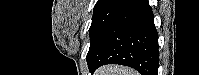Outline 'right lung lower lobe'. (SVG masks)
Segmentation results:
<instances>
[{
  "label": "right lung lower lobe",
  "mask_w": 199,
  "mask_h": 75,
  "mask_svg": "<svg viewBox=\"0 0 199 75\" xmlns=\"http://www.w3.org/2000/svg\"><path fill=\"white\" fill-rule=\"evenodd\" d=\"M158 33L148 0H128L106 29L89 61L93 73L104 64H122L141 75H157Z\"/></svg>",
  "instance_id": "1"
}]
</instances>
